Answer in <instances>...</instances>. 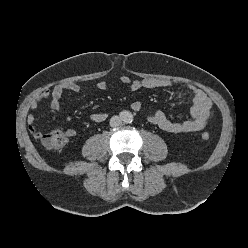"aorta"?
I'll list each match as a JSON object with an SVG mask.
<instances>
[{"instance_id":"762f6f07","label":"aorta","mask_w":248,"mask_h":248,"mask_svg":"<svg viewBox=\"0 0 248 248\" xmlns=\"http://www.w3.org/2000/svg\"><path fill=\"white\" fill-rule=\"evenodd\" d=\"M122 120H123V122H125V123H130V122H132V120H133V115H132V113L129 112V111L123 112V114H122Z\"/></svg>"}]
</instances>
